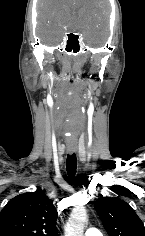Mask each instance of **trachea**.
<instances>
[{"label": "trachea", "instance_id": "trachea-1", "mask_svg": "<svg viewBox=\"0 0 145 236\" xmlns=\"http://www.w3.org/2000/svg\"><path fill=\"white\" fill-rule=\"evenodd\" d=\"M76 169H77V159L75 153H73L72 155L67 156V161H66V171L70 179L75 178Z\"/></svg>", "mask_w": 145, "mask_h": 236}]
</instances>
